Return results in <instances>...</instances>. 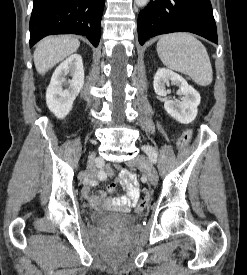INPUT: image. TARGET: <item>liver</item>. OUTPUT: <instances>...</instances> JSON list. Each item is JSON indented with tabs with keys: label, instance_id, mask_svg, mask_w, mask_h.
I'll return each mask as SVG.
<instances>
[{
	"label": "liver",
	"instance_id": "obj_1",
	"mask_svg": "<svg viewBox=\"0 0 247 275\" xmlns=\"http://www.w3.org/2000/svg\"><path fill=\"white\" fill-rule=\"evenodd\" d=\"M80 42L69 35L47 37L40 41L34 51V64L39 74L49 69L78 50Z\"/></svg>",
	"mask_w": 247,
	"mask_h": 275
}]
</instances>
